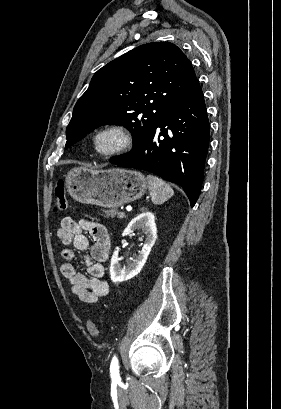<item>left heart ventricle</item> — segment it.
I'll use <instances>...</instances> for the list:
<instances>
[{
  "label": "left heart ventricle",
  "mask_w": 281,
  "mask_h": 409,
  "mask_svg": "<svg viewBox=\"0 0 281 409\" xmlns=\"http://www.w3.org/2000/svg\"><path fill=\"white\" fill-rule=\"evenodd\" d=\"M107 145H108V141H105V142L102 143L103 147H106Z\"/></svg>",
  "instance_id": "b2bd125f"
}]
</instances>
